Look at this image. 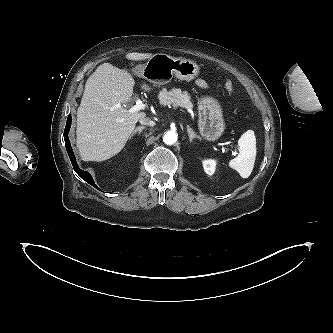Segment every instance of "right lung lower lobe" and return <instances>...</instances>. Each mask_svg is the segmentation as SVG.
Here are the masks:
<instances>
[{"instance_id": "98d812e1", "label": "right lung lower lobe", "mask_w": 333, "mask_h": 333, "mask_svg": "<svg viewBox=\"0 0 333 333\" xmlns=\"http://www.w3.org/2000/svg\"><path fill=\"white\" fill-rule=\"evenodd\" d=\"M70 127H71V115L68 116L67 118V122H66V127H65V130H64V140H65V146H66V150L68 152V155L70 157V160H71V163H72V166L75 170V172L83 179L85 180L86 182H88L90 185L94 186L96 189H98V187L96 186V184L94 183L93 181V178L92 176L90 175V173L86 172V171H83L81 170L79 167H78V164L75 160V156H74V153H73V150H72V147H71V144H70V140L68 138V132L70 130ZM99 190V189H98Z\"/></svg>"}]
</instances>
